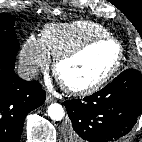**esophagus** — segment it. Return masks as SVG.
I'll list each match as a JSON object with an SVG mask.
<instances>
[{
	"instance_id": "obj_1",
	"label": "esophagus",
	"mask_w": 142,
	"mask_h": 142,
	"mask_svg": "<svg viewBox=\"0 0 142 142\" xmlns=\"http://www.w3.org/2000/svg\"><path fill=\"white\" fill-rule=\"evenodd\" d=\"M54 101V97L51 94L46 95V102L52 103Z\"/></svg>"
}]
</instances>
